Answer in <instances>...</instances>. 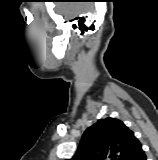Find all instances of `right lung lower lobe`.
I'll return each mask as SVG.
<instances>
[{
    "label": "right lung lower lobe",
    "instance_id": "98d812e1",
    "mask_svg": "<svg viewBox=\"0 0 158 160\" xmlns=\"http://www.w3.org/2000/svg\"><path fill=\"white\" fill-rule=\"evenodd\" d=\"M131 160H146L145 152L141 149L139 150L132 158Z\"/></svg>",
    "mask_w": 158,
    "mask_h": 160
}]
</instances>
